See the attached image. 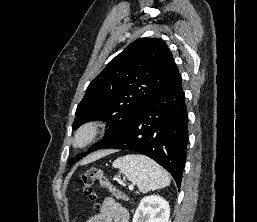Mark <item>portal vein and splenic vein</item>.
<instances>
[{
	"label": "portal vein and splenic vein",
	"instance_id": "portal-vein-and-splenic-vein-1",
	"mask_svg": "<svg viewBox=\"0 0 257 222\" xmlns=\"http://www.w3.org/2000/svg\"><path fill=\"white\" fill-rule=\"evenodd\" d=\"M129 189H130V190H133V189H134V186H133V185H130V186H129Z\"/></svg>",
	"mask_w": 257,
	"mask_h": 222
}]
</instances>
